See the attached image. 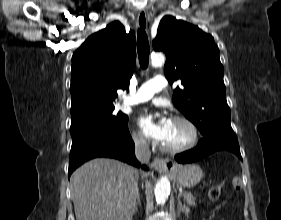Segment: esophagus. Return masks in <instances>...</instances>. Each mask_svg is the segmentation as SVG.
<instances>
[{"label": "esophagus", "mask_w": 281, "mask_h": 220, "mask_svg": "<svg viewBox=\"0 0 281 220\" xmlns=\"http://www.w3.org/2000/svg\"><path fill=\"white\" fill-rule=\"evenodd\" d=\"M137 25L143 29L147 30L148 22L145 11H140L137 17ZM155 170L160 173H166L174 168V162L171 159L155 158L152 163Z\"/></svg>", "instance_id": "34e87169"}]
</instances>
